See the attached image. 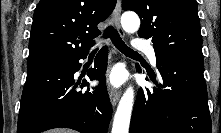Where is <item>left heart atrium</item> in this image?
<instances>
[{
	"mask_svg": "<svg viewBox=\"0 0 221 133\" xmlns=\"http://www.w3.org/2000/svg\"><path fill=\"white\" fill-rule=\"evenodd\" d=\"M107 79L111 85L118 86L123 80V73L120 70H113L110 72Z\"/></svg>",
	"mask_w": 221,
	"mask_h": 133,
	"instance_id": "obj_1",
	"label": "left heart atrium"
}]
</instances>
